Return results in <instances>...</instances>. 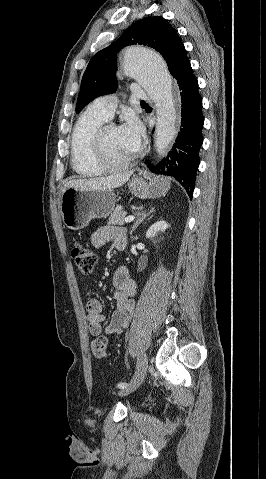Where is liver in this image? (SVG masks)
I'll use <instances>...</instances> for the list:
<instances>
[{
	"mask_svg": "<svg viewBox=\"0 0 266 479\" xmlns=\"http://www.w3.org/2000/svg\"><path fill=\"white\" fill-rule=\"evenodd\" d=\"M132 172L115 174L107 177L90 178V179H73L65 183L63 191L68 188L79 190H111L125 184Z\"/></svg>",
	"mask_w": 266,
	"mask_h": 479,
	"instance_id": "liver-1",
	"label": "liver"
}]
</instances>
